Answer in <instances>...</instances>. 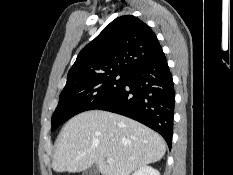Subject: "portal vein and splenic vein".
Instances as JSON below:
<instances>
[{
	"label": "portal vein and splenic vein",
	"mask_w": 233,
	"mask_h": 175,
	"mask_svg": "<svg viewBox=\"0 0 233 175\" xmlns=\"http://www.w3.org/2000/svg\"><path fill=\"white\" fill-rule=\"evenodd\" d=\"M113 162H114V159H113V158H108V159H107V163H108V164H112Z\"/></svg>",
	"instance_id": "obj_1"
}]
</instances>
